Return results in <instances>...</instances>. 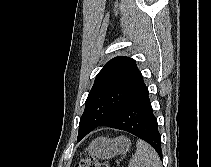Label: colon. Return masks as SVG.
Here are the masks:
<instances>
[{"instance_id": "1", "label": "colon", "mask_w": 211, "mask_h": 167, "mask_svg": "<svg viewBox=\"0 0 211 167\" xmlns=\"http://www.w3.org/2000/svg\"><path fill=\"white\" fill-rule=\"evenodd\" d=\"M75 167H111L107 162L100 161L90 156L82 159Z\"/></svg>"}]
</instances>
